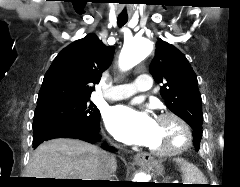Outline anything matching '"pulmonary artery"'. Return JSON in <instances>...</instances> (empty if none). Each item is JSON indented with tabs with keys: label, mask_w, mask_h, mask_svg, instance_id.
I'll use <instances>...</instances> for the list:
<instances>
[{
	"label": "pulmonary artery",
	"mask_w": 240,
	"mask_h": 187,
	"mask_svg": "<svg viewBox=\"0 0 240 187\" xmlns=\"http://www.w3.org/2000/svg\"><path fill=\"white\" fill-rule=\"evenodd\" d=\"M151 85V77L148 74H140L132 83L114 86L105 97L112 101L126 99L139 92L148 91Z\"/></svg>",
	"instance_id": "obj_1"
}]
</instances>
